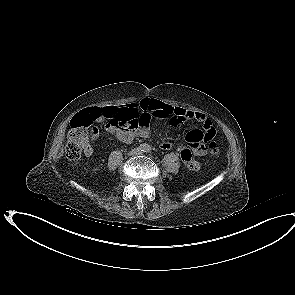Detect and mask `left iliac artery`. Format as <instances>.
I'll return each instance as SVG.
<instances>
[{"instance_id": "left-iliac-artery-1", "label": "left iliac artery", "mask_w": 295, "mask_h": 295, "mask_svg": "<svg viewBox=\"0 0 295 295\" xmlns=\"http://www.w3.org/2000/svg\"><path fill=\"white\" fill-rule=\"evenodd\" d=\"M150 151H151V148H150V147H148V148H147V152H150Z\"/></svg>"}]
</instances>
